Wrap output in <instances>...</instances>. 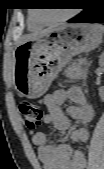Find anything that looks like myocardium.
I'll use <instances>...</instances> for the list:
<instances>
[{"label": "myocardium", "mask_w": 104, "mask_h": 169, "mask_svg": "<svg viewBox=\"0 0 104 169\" xmlns=\"http://www.w3.org/2000/svg\"><path fill=\"white\" fill-rule=\"evenodd\" d=\"M72 16H73V12H69V13L63 15L62 17H60L58 19L50 20V21L49 20H45L44 18H42L40 16H36V18L38 19V21H40L43 24H56V23L67 21Z\"/></svg>", "instance_id": "obj_1"}]
</instances>
